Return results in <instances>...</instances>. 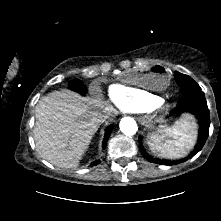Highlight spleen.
<instances>
[{"label": "spleen", "mask_w": 221, "mask_h": 221, "mask_svg": "<svg viewBox=\"0 0 221 221\" xmlns=\"http://www.w3.org/2000/svg\"><path fill=\"white\" fill-rule=\"evenodd\" d=\"M196 136V123L191 115L184 114L173 126L165 128L163 136H149L148 145L160 157L178 158L194 146Z\"/></svg>", "instance_id": "1"}]
</instances>
